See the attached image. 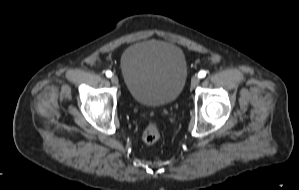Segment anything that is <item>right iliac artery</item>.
<instances>
[{
	"mask_svg": "<svg viewBox=\"0 0 299 190\" xmlns=\"http://www.w3.org/2000/svg\"><path fill=\"white\" fill-rule=\"evenodd\" d=\"M106 76L107 77H111L112 76V72L110 70L106 71Z\"/></svg>",
	"mask_w": 299,
	"mask_h": 190,
	"instance_id": "obj_1",
	"label": "right iliac artery"
}]
</instances>
